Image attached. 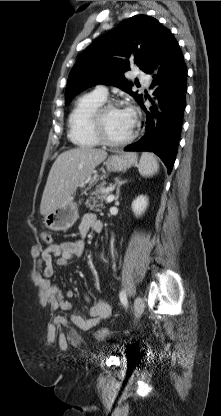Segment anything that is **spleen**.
<instances>
[{
    "instance_id": "obj_1",
    "label": "spleen",
    "mask_w": 221,
    "mask_h": 416,
    "mask_svg": "<svg viewBox=\"0 0 221 416\" xmlns=\"http://www.w3.org/2000/svg\"><path fill=\"white\" fill-rule=\"evenodd\" d=\"M139 173L143 177H150L159 170V164L156 157L149 152H143L138 164Z\"/></svg>"
}]
</instances>
